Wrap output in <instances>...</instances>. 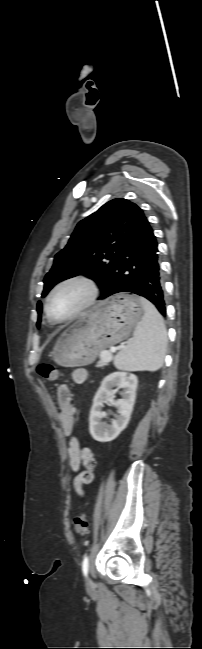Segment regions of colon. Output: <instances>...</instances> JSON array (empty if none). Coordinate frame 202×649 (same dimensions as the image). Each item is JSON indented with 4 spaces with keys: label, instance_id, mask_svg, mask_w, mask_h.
Listing matches in <instances>:
<instances>
[{
    "label": "colon",
    "instance_id": "5ec220e1",
    "mask_svg": "<svg viewBox=\"0 0 202 649\" xmlns=\"http://www.w3.org/2000/svg\"><path fill=\"white\" fill-rule=\"evenodd\" d=\"M39 375L48 381H56L60 376V370L52 364L42 363L38 366ZM74 530L77 535H83L88 531V520L85 513H81L74 519Z\"/></svg>",
    "mask_w": 202,
    "mask_h": 649
}]
</instances>
